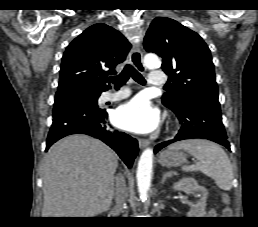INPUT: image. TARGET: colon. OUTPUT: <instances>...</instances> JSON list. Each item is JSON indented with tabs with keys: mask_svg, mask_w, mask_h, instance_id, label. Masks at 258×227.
Here are the masks:
<instances>
[{
	"mask_svg": "<svg viewBox=\"0 0 258 227\" xmlns=\"http://www.w3.org/2000/svg\"><path fill=\"white\" fill-rule=\"evenodd\" d=\"M224 203H225V208L223 210V216L224 218H230V216L232 215V211L231 208L229 207V198L228 196H224Z\"/></svg>",
	"mask_w": 258,
	"mask_h": 227,
	"instance_id": "1",
	"label": "colon"
}]
</instances>
